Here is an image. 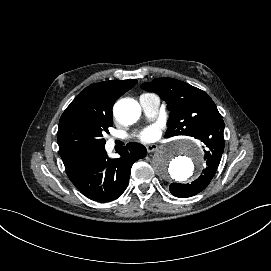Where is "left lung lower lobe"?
I'll return each instance as SVG.
<instances>
[{"instance_id": "left-lung-lower-lobe-1", "label": "left lung lower lobe", "mask_w": 271, "mask_h": 271, "mask_svg": "<svg viewBox=\"0 0 271 271\" xmlns=\"http://www.w3.org/2000/svg\"><path fill=\"white\" fill-rule=\"evenodd\" d=\"M205 159L207 161L206 168L202 171L200 177L191 184L172 183L170 192L179 198H187L196 195L204 190L213 179L219 166L224 146L214 143H205Z\"/></svg>"}]
</instances>
